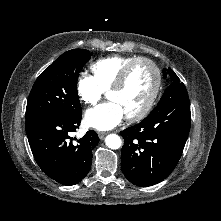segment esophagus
<instances>
[{
  "instance_id": "1",
  "label": "esophagus",
  "mask_w": 221,
  "mask_h": 221,
  "mask_svg": "<svg viewBox=\"0 0 221 221\" xmlns=\"http://www.w3.org/2000/svg\"><path fill=\"white\" fill-rule=\"evenodd\" d=\"M106 134L107 133H105V132H99L98 136H99L100 139H103L106 136Z\"/></svg>"
}]
</instances>
